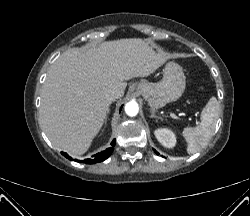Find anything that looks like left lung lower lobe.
I'll use <instances>...</instances> for the list:
<instances>
[{"label": "left lung lower lobe", "instance_id": "obj_1", "mask_svg": "<svg viewBox=\"0 0 250 216\" xmlns=\"http://www.w3.org/2000/svg\"><path fill=\"white\" fill-rule=\"evenodd\" d=\"M154 151L158 154V152L156 150H154Z\"/></svg>", "mask_w": 250, "mask_h": 216}]
</instances>
